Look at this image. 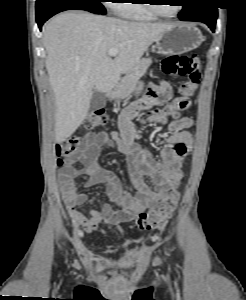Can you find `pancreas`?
Here are the masks:
<instances>
[{
	"label": "pancreas",
	"mask_w": 246,
	"mask_h": 300,
	"mask_svg": "<svg viewBox=\"0 0 246 300\" xmlns=\"http://www.w3.org/2000/svg\"><path fill=\"white\" fill-rule=\"evenodd\" d=\"M150 64L151 59H140L135 66L121 79L117 89L123 97H127L132 91H134L138 80L146 73Z\"/></svg>",
	"instance_id": "obj_1"
}]
</instances>
